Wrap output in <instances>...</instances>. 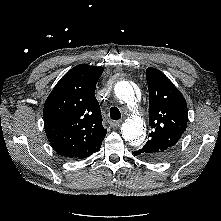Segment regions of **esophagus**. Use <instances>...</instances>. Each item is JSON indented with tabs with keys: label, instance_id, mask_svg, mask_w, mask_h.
Listing matches in <instances>:
<instances>
[{
	"label": "esophagus",
	"instance_id": "obj_1",
	"mask_svg": "<svg viewBox=\"0 0 221 221\" xmlns=\"http://www.w3.org/2000/svg\"><path fill=\"white\" fill-rule=\"evenodd\" d=\"M122 122H123L122 120L113 121V122L111 123V125H112L113 127H119Z\"/></svg>",
	"mask_w": 221,
	"mask_h": 221
}]
</instances>
